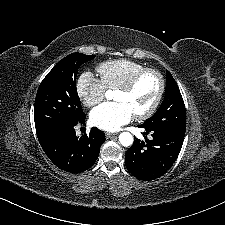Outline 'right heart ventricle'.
<instances>
[{
    "instance_id": "obj_1",
    "label": "right heart ventricle",
    "mask_w": 225,
    "mask_h": 225,
    "mask_svg": "<svg viewBox=\"0 0 225 225\" xmlns=\"http://www.w3.org/2000/svg\"><path fill=\"white\" fill-rule=\"evenodd\" d=\"M144 68V65L128 59L108 60L98 65L102 81L111 90L118 89Z\"/></svg>"
}]
</instances>
